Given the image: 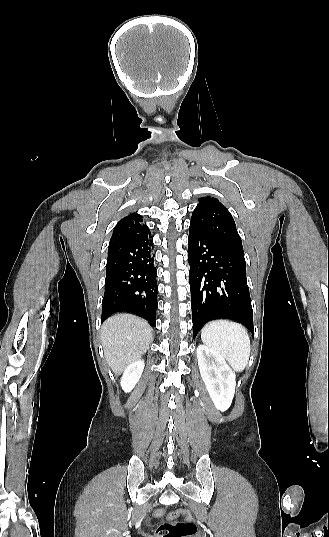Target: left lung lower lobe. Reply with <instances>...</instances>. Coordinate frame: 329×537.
<instances>
[{"instance_id":"obj_1","label":"left lung lower lobe","mask_w":329,"mask_h":537,"mask_svg":"<svg viewBox=\"0 0 329 537\" xmlns=\"http://www.w3.org/2000/svg\"><path fill=\"white\" fill-rule=\"evenodd\" d=\"M188 262L194 338L207 322L221 318L239 322L254 334L244 252L190 224Z\"/></svg>"}]
</instances>
